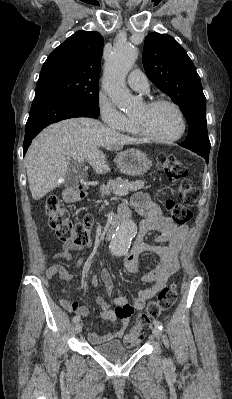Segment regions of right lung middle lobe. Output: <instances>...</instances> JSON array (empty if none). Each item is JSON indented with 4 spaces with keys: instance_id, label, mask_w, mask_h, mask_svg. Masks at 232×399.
Wrapping results in <instances>:
<instances>
[{
    "instance_id": "1",
    "label": "right lung middle lobe",
    "mask_w": 232,
    "mask_h": 399,
    "mask_svg": "<svg viewBox=\"0 0 232 399\" xmlns=\"http://www.w3.org/2000/svg\"><path fill=\"white\" fill-rule=\"evenodd\" d=\"M36 91H50L99 113L98 83H86L70 78H50L37 82Z\"/></svg>"
}]
</instances>
